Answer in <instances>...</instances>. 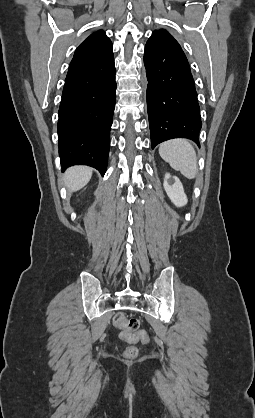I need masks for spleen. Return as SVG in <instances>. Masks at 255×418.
Masks as SVG:
<instances>
[{
    "mask_svg": "<svg viewBox=\"0 0 255 418\" xmlns=\"http://www.w3.org/2000/svg\"><path fill=\"white\" fill-rule=\"evenodd\" d=\"M159 154L164 161L183 176L193 179L197 175L196 152L187 139H171L159 146Z\"/></svg>",
    "mask_w": 255,
    "mask_h": 418,
    "instance_id": "1",
    "label": "spleen"
}]
</instances>
